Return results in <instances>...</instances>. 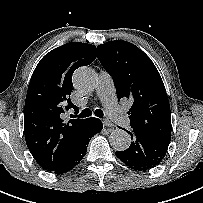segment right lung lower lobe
I'll return each mask as SVG.
<instances>
[{
	"mask_svg": "<svg viewBox=\"0 0 203 203\" xmlns=\"http://www.w3.org/2000/svg\"><path fill=\"white\" fill-rule=\"evenodd\" d=\"M102 129L103 124L98 118H89L84 129L71 146L66 158L53 172L63 174L74 168L85 156L90 138Z\"/></svg>",
	"mask_w": 203,
	"mask_h": 203,
	"instance_id": "right-lung-lower-lobe-1",
	"label": "right lung lower lobe"
}]
</instances>
